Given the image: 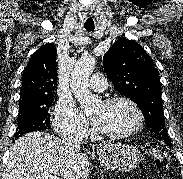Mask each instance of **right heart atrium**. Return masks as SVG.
Returning <instances> with one entry per match:
<instances>
[{"label": "right heart atrium", "instance_id": "obj_1", "mask_svg": "<svg viewBox=\"0 0 183 179\" xmlns=\"http://www.w3.org/2000/svg\"><path fill=\"white\" fill-rule=\"evenodd\" d=\"M54 127L61 136L84 135L88 132L86 118L68 99H60L56 104Z\"/></svg>", "mask_w": 183, "mask_h": 179}]
</instances>
